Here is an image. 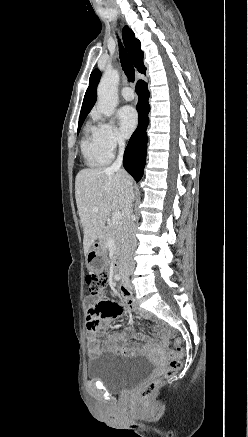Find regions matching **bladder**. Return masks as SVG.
<instances>
[{
	"label": "bladder",
	"instance_id": "1",
	"mask_svg": "<svg viewBox=\"0 0 248 437\" xmlns=\"http://www.w3.org/2000/svg\"><path fill=\"white\" fill-rule=\"evenodd\" d=\"M157 366L140 355L104 352L93 358L87 368L88 377L101 382L108 391L121 393L151 378Z\"/></svg>",
	"mask_w": 248,
	"mask_h": 437
}]
</instances>
